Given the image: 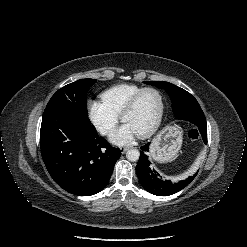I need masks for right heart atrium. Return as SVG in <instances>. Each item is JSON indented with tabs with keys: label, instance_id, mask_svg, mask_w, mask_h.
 Wrapping results in <instances>:
<instances>
[{
	"label": "right heart atrium",
	"instance_id": "d8ad5b80",
	"mask_svg": "<svg viewBox=\"0 0 247 247\" xmlns=\"http://www.w3.org/2000/svg\"><path fill=\"white\" fill-rule=\"evenodd\" d=\"M87 115L92 125L102 135L109 134L119 121V115L99 100L88 101Z\"/></svg>",
	"mask_w": 247,
	"mask_h": 247
}]
</instances>
